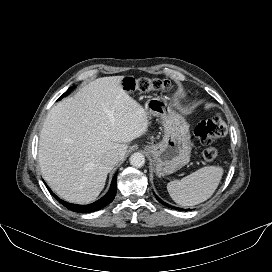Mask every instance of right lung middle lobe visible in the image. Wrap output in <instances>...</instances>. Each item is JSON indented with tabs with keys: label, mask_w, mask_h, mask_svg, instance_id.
Wrapping results in <instances>:
<instances>
[{
	"label": "right lung middle lobe",
	"mask_w": 272,
	"mask_h": 272,
	"mask_svg": "<svg viewBox=\"0 0 272 272\" xmlns=\"http://www.w3.org/2000/svg\"><path fill=\"white\" fill-rule=\"evenodd\" d=\"M72 87H70L60 98H59V100L61 99V98H63V97H65L66 95H68L71 91H72Z\"/></svg>",
	"instance_id": "1"
}]
</instances>
